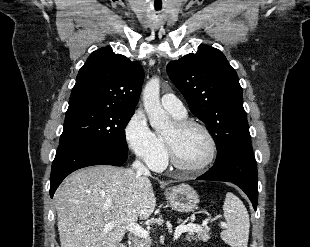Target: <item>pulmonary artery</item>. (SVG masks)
Returning a JSON list of instances; mask_svg holds the SVG:
<instances>
[{
	"mask_svg": "<svg viewBox=\"0 0 310 247\" xmlns=\"http://www.w3.org/2000/svg\"><path fill=\"white\" fill-rule=\"evenodd\" d=\"M161 104L165 110L175 117L186 116V109L182 102L172 93L164 94L161 97Z\"/></svg>",
	"mask_w": 310,
	"mask_h": 247,
	"instance_id": "e3ab8cb5",
	"label": "pulmonary artery"
}]
</instances>
